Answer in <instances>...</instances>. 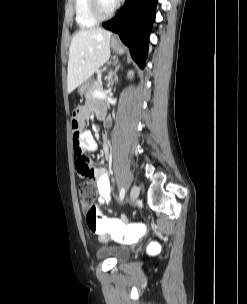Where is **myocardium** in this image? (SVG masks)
<instances>
[{
    "mask_svg": "<svg viewBox=\"0 0 247 304\" xmlns=\"http://www.w3.org/2000/svg\"><path fill=\"white\" fill-rule=\"evenodd\" d=\"M89 12L91 16L97 21H104L111 18L119 8V1L116 2L113 9L109 12H104L101 8L100 0H88Z\"/></svg>",
    "mask_w": 247,
    "mask_h": 304,
    "instance_id": "myocardium-1",
    "label": "myocardium"
}]
</instances>
